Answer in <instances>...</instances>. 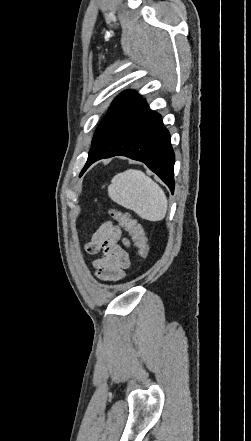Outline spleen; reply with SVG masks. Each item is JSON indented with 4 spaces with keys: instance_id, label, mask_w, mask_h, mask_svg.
I'll use <instances>...</instances> for the list:
<instances>
[{
    "instance_id": "obj_1",
    "label": "spleen",
    "mask_w": 251,
    "mask_h": 441,
    "mask_svg": "<svg viewBox=\"0 0 251 441\" xmlns=\"http://www.w3.org/2000/svg\"><path fill=\"white\" fill-rule=\"evenodd\" d=\"M108 195L117 204L148 221H160L167 212L164 191L140 170L128 169L116 174L108 186Z\"/></svg>"
}]
</instances>
